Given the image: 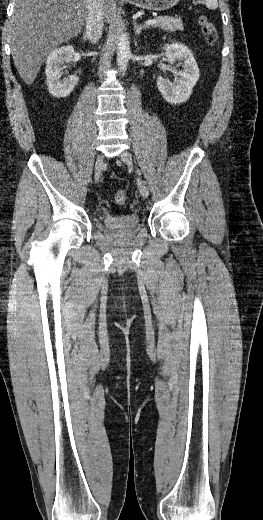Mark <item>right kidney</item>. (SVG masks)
Masks as SVG:
<instances>
[{
	"mask_svg": "<svg viewBox=\"0 0 263 520\" xmlns=\"http://www.w3.org/2000/svg\"><path fill=\"white\" fill-rule=\"evenodd\" d=\"M74 53V47L66 45L53 50L47 57L45 69L47 86L49 93L55 98L69 96L78 83L79 78L76 74L61 80L63 64L70 62Z\"/></svg>",
	"mask_w": 263,
	"mask_h": 520,
	"instance_id": "ca27d5eb",
	"label": "right kidney"
}]
</instances>
